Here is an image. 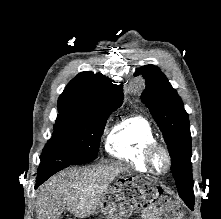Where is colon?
Instances as JSON below:
<instances>
[{
	"label": "colon",
	"instance_id": "5ec220e1",
	"mask_svg": "<svg viewBox=\"0 0 221 219\" xmlns=\"http://www.w3.org/2000/svg\"><path fill=\"white\" fill-rule=\"evenodd\" d=\"M117 192L122 197L135 194V192L140 194L142 201L138 205L139 209L148 208L157 200V195H153L152 187L143 186L142 184H135L132 181H127L121 185H118ZM163 210L170 211L168 207H163Z\"/></svg>",
	"mask_w": 221,
	"mask_h": 219
}]
</instances>
